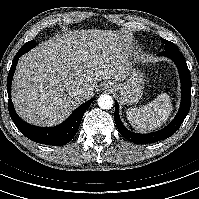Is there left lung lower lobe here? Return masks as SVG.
I'll list each match as a JSON object with an SVG mask.
<instances>
[{"instance_id": "0a47b994", "label": "left lung lower lobe", "mask_w": 199, "mask_h": 199, "mask_svg": "<svg viewBox=\"0 0 199 199\" xmlns=\"http://www.w3.org/2000/svg\"><path fill=\"white\" fill-rule=\"evenodd\" d=\"M159 55L167 56L177 65L181 80V106L174 120L164 129L149 134H136L124 127L119 118V107L115 103V123L120 134L135 144L155 143L173 135L181 126L191 106V76L186 60L178 48L165 49Z\"/></svg>"}]
</instances>
